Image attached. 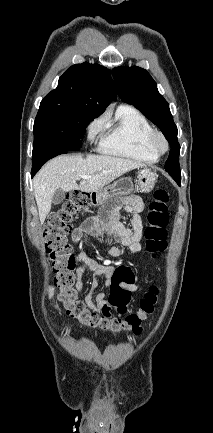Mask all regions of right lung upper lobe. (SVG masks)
Instances as JSON below:
<instances>
[{
  "label": "right lung upper lobe",
  "mask_w": 213,
  "mask_h": 433,
  "mask_svg": "<svg viewBox=\"0 0 213 433\" xmlns=\"http://www.w3.org/2000/svg\"><path fill=\"white\" fill-rule=\"evenodd\" d=\"M111 100H116V93L108 70L84 62L68 68L59 78L58 87L41 103L78 107L99 116Z\"/></svg>",
  "instance_id": "obj_1"
}]
</instances>
